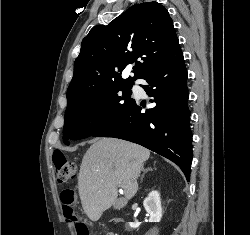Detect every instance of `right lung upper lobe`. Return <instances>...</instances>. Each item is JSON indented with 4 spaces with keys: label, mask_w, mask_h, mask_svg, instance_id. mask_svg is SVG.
<instances>
[{
    "label": "right lung upper lobe",
    "mask_w": 250,
    "mask_h": 235,
    "mask_svg": "<svg viewBox=\"0 0 250 235\" xmlns=\"http://www.w3.org/2000/svg\"><path fill=\"white\" fill-rule=\"evenodd\" d=\"M177 41L168 11L157 2L133 5L108 25L93 27L74 62L68 103L109 86L132 87L167 58ZM134 62V77L123 79L122 71Z\"/></svg>",
    "instance_id": "cb5924a9"
}]
</instances>
